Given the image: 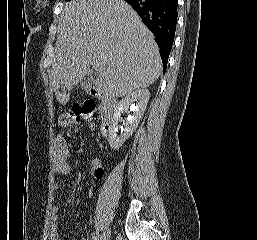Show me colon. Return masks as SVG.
Masks as SVG:
<instances>
[{"instance_id":"5ec220e1","label":"colon","mask_w":257,"mask_h":240,"mask_svg":"<svg viewBox=\"0 0 257 240\" xmlns=\"http://www.w3.org/2000/svg\"><path fill=\"white\" fill-rule=\"evenodd\" d=\"M96 106L92 101L75 103L65 117L68 121L79 122L81 120H92L95 117Z\"/></svg>"}]
</instances>
